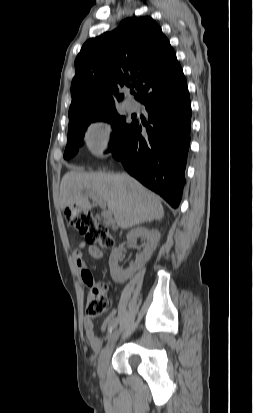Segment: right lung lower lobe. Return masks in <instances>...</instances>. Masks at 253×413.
I'll return each instance as SVG.
<instances>
[{
    "label": "right lung lower lobe",
    "mask_w": 253,
    "mask_h": 413,
    "mask_svg": "<svg viewBox=\"0 0 253 413\" xmlns=\"http://www.w3.org/2000/svg\"><path fill=\"white\" fill-rule=\"evenodd\" d=\"M148 112L147 135L134 121L123 140L112 150L127 172L177 208L185 184L190 144L191 102L187 86L173 95L143 103Z\"/></svg>",
    "instance_id": "98d812e1"
}]
</instances>
